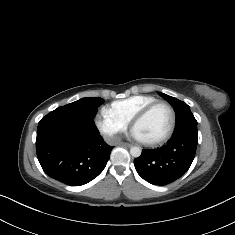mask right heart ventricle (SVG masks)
<instances>
[{
	"label": "right heart ventricle",
	"mask_w": 235,
	"mask_h": 235,
	"mask_svg": "<svg viewBox=\"0 0 235 235\" xmlns=\"http://www.w3.org/2000/svg\"><path fill=\"white\" fill-rule=\"evenodd\" d=\"M159 101L151 94H136L125 99L117 100L110 105L112 113L126 124L146 106Z\"/></svg>",
	"instance_id": "e07e8e85"
}]
</instances>
